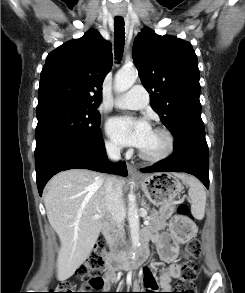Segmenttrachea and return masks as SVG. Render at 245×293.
Wrapping results in <instances>:
<instances>
[{"mask_svg": "<svg viewBox=\"0 0 245 293\" xmlns=\"http://www.w3.org/2000/svg\"><path fill=\"white\" fill-rule=\"evenodd\" d=\"M124 20L123 18H115L114 19V47H115V55L118 60L121 59L123 50H124V41H125V28H124Z\"/></svg>", "mask_w": 245, "mask_h": 293, "instance_id": "trachea-1", "label": "trachea"}]
</instances>
